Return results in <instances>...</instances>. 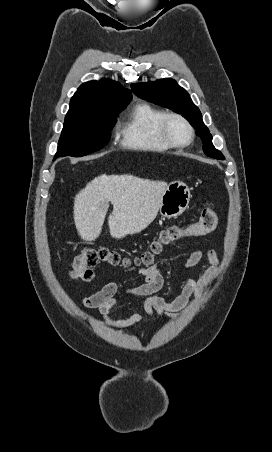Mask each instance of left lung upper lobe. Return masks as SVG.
Segmentation results:
<instances>
[{
	"label": "left lung upper lobe",
	"mask_w": 272,
	"mask_h": 452,
	"mask_svg": "<svg viewBox=\"0 0 272 452\" xmlns=\"http://www.w3.org/2000/svg\"><path fill=\"white\" fill-rule=\"evenodd\" d=\"M131 88L140 98L182 114L202 139L204 153L215 159H225L223 154L213 146L212 135L203 123L200 110L194 105L186 90L175 80L165 78L155 82L137 83L132 84Z\"/></svg>",
	"instance_id": "obj_1"
}]
</instances>
